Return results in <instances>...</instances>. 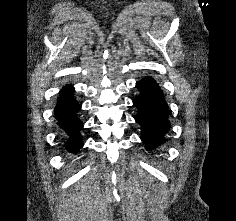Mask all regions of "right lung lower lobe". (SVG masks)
<instances>
[{
  "label": "right lung lower lobe",
  "mask_w": 236,
  "mask_h": 221,
  "mask_svg": "<svg viewBox=\"0 0 236 221\" xmlns=\"http://www.w3.org/2000/svg\"><path fill=\"white\" fill-rule=\"evenodd\" d=\"M73 92L71 86L62 88L54 110L60 128L69 136L67 149L70 152H76L83 146L79 133L82 122L76 117V113L80 110V104L73 98Z\"/></svg>",
  "instance_id": "obj_1"
}]
</instances>
